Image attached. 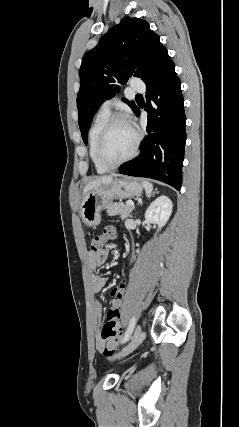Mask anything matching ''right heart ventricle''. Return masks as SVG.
Returning <instances> with one entry per match:
<instances>
[{
	"label": "right heart ventricle",
	"instance_id": "obj_1",
	"mask_svg": "<svg viewBox=\"0 0 239 427\" xmlns=\"http://www.w3.org/2000/svg\"><path fill=\"white\" fill-rule=\"evenodd\" d=\"M110 118V113L109 111H103L100 110L97 112V114L95 115L93 122L88 130V151H89V156L90 159L96 169L97 172L99 173H104L106 171H108V168L104 167L103 165H101L96 157V145H97V140L99 137V134L102 130V128L104 127L105 123L108 121V119Z\"/></svg>",
	"mask_w": 239,
	"mask_h": 427
}]
</instances>
